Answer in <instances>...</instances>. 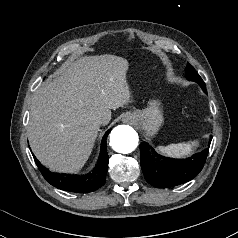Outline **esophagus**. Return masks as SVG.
Instances as JSON below:
<instances>
[{
  "label": "esophagus",
  "instance_id": "esophagus-1",
  "mask_svg": "<svg viewBox=\"0 0 238 238\" xmlns=\"http://www.w3.org/2000/svg\"><path fill=\"white\" fill-rule=\"evenodd\" d=\"M123 122H128V118H124V119H123Z\"/></svg>",
  "mask_w": 238,
  "mask_h": 238
}]
</instances>
